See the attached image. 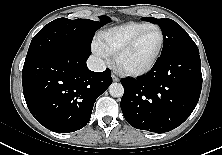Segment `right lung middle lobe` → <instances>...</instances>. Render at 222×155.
I'll list each match as a JSON object with an SVG mask.
<instances>
[{"label":"right lung middle lobe","mask_w":222,"mask_h":155,"mask_svg":"<svg viewBox=\"0 0 222 155\" xmlns=\"http://www.w3.org/2000/svg\"><path fill=\"white\" fill-rule=\"evenodd\" d=\"M99 19L100 21L58 18L48 23L32 39L25 62L59 49L89 52L95 32L111 22L108 16H100Z\"/></svg>","instance_id":"right-lung-middle-lobe-1"}]
</instances>
